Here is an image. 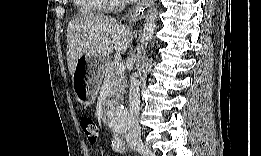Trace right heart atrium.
I'll use <instances>...</instances> for the list:
<instances>
[{"mask_svg": "<svg viewBox=\"0 0 261 156\" xmlns=\"http://www.w3.org/2000/svg\"><path fill=\"white\" fill-rule=\"evenodd\" d=\"M116 5V2L114 1H101V4L99 5V10H108L113 8Z\"/></svg>", "mask_w": 261, "mask_h": 156, "instance_id": "1", "label": "right heart atrium"}]
</instances>
